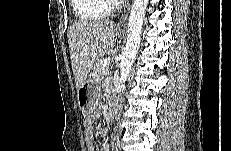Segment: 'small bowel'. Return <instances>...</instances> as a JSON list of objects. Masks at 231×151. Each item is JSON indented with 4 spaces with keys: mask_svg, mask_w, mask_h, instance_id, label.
Segmentation results:
<instances>
[{
    "mask_svg": "<svg viewBox=\"0 0 231 151\" xmlns=\"http://www.w3.org/2000/svg\"><path fill=\"white\" fill-rule=\"evenodd\" d=\"M99 117H100V113L95 112L90 117H88L84 122L85 140H86L87 151H95V146H94V143L92 141L91 135H92V131H93V123Z\"/></svg>",
    "mask_w": 231,
    "mask_h": 151,
    "instance_id": "c3829d8e",
    "label": "small bowel"
}]
</instances>
